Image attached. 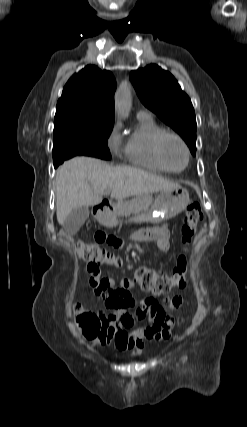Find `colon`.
I'll return each instance as SVG.
<instances>
[{
  "mask_svg": "<svg viewBox=\"0 0 247 427\" xmlns=\"http://www.w3.org/2000/svg\"><path fill=\"white\" fill-rule=\"evenodd\" d=\"M202 218L203 213L198 203H192L187 207L181 228L182 241L185 245H188L195 237L198 231V224ZM77 253L78 257L85 262L107 264L116 268L123 266V261L120 257L96 245V243L78 242ZM186 272L187 259L182 255L178 258L176 267L171 274H164L148 267L140 266L134 270V277L142 290L155 295H163L175 287H184L186 284ZM74 317L83 335L88 340H103L105 327L97 314L77 306Z\"/></svg>",
  "mask_w": 247,
  "mask_h": 427,
  "instance_id": "obj_1",
  "label": "colon"
}]
</instances>
